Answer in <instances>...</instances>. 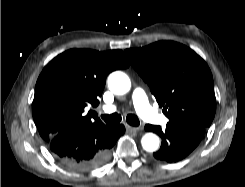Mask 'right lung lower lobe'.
Masks as SVG:
<instances>
[{"mask_svg":"<svg viewBox=\"0 0 245 187\" xmlns=\"http://www.w3.org/2000/svg\"><path fill=\"white\" fill-rule=\"evenodd\" d=\"M124 132L125 127L121 124L109 126L94 123L57 134L47 143L54 157L64 166L89 171L108 161L111 148Z\"/></svg>","mask_w":245,"mask_h":187,"instance_id":"obj_1","label":"right lung lower lobe"}]
</instances>
